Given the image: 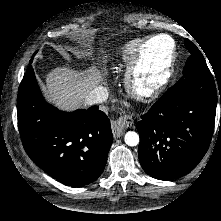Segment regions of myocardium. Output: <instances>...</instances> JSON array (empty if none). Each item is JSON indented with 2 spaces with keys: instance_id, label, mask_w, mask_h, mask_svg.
<instances>
[{
  "instance_id": "myocardium-1",
  "label": "myocardium",
  "mask_w": 221,
  "mask_h": 221,
  "mask_svg": "<svg viewBox=\"0 0 221 221\" xmlns=\"http://www.w3.org/2000/svg\"><path fill=\"white\" fill-rule=\"evenodd\" d=\"M158 37L167 38L171 43V48L158 67L149 68L147 66L148 49L152 41ZM176 50L175 40L165 33L152 35L141 41L127 67L125 76L126 88L132 97L143 102L158 98L172 76L177 58Z\"/></svg>"
}]
</instances>
